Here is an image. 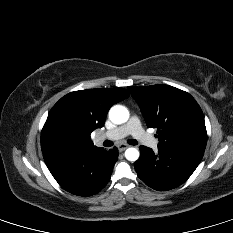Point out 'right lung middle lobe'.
Returning <instances> with one entry per match:
<instances>
[{
    "label": "right lung middle lobe",
    "instance_id": "right-lung-middle-lobe-1",
    "mask_svg": "<svg viewBox=\"0 0 233 233\" xmlns=\"http://www.w3.org/2000/svg\"><path fill=\"white\" fill-rule=\"evenodd\" d=\"M69 142L70 133L62 127L51 128L44 139L45 146L51 150H63Z\"/></svg>",
    "mask_w": 233,
    "mask_h": 233
}]
</instances>
